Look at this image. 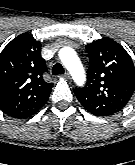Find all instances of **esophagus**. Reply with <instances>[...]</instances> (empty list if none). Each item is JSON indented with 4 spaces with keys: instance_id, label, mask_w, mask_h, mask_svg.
<instances>
[{
    "instance_id": "1",
    "label": "esophagus",
    "mask_w": 135,
    "mask_h": 165,
    "mask_svg": "<svg viewBox=\"0 0 135 165\" xmlns=\"http://www.w3.org/2000/svg\"><path fill=\"white\" fill-rule=\"evenodd\" d=\"M63 77H64L65 79H70V78H71V75H70V73L66 72V73L63 75Z\"/></svg>"
}]
</instances>
